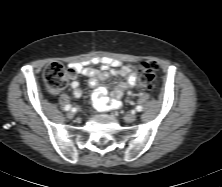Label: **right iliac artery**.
Returning a JSON list of instances; mask_svg holds the SVG:
<instances>
[{
    "label": "right iliac artery",
    "mask_w": 222,
    "mask_h": 187,
    "mask_svg": "<svg viewBox=\"0 0 222 187\" xmlns=\"http://www.w3.org/2000/svg\"><path fill=\"white\" fill-rule=\"evenodd\" d=\"M64 109H65L66 111L70 110V109H71V105H70V104L66 105V106L64 107Z\"/></svg>",
    "instance_id": "obj_1"
}]
</instances>
